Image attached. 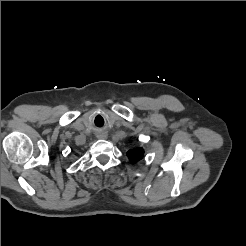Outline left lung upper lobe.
I'll return each instance as SVG.
<instances>
[{"mask_svg": "<svg viewBox=\"0 0 246 246\" xmlns=\"http://www.w3.org/2000/svg\"><path fill=\"white\" fill-rule=\"evenodd\" d=\"M144 155V150L142 148L131 149L127 152V156L132 163L139 161Z\"/></svg>", "mask_w": 246, "mask_h": 246, "instance_id": "1", "label": "left lung upper lobe"}]
</instances>
